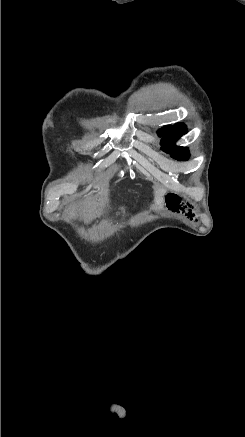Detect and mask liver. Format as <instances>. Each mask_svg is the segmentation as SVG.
<instances>
[{
    "label": "liver",
    "instance_id": "obj_1",
    "mask_svg": "<svg viewBox=\"0 0 245 437\" xmlns=\"http://www.w3.org/2000/svg\"><path fill=\"white\" fill-rule=\"evenodd\" d=\"M154 193H155V204L158 206L159 209H161L164 203L165 190L157 189L155 190Z\"/></svg>",
    "mask_w": 245,
    "mask_h": 437
}]
</instances>
